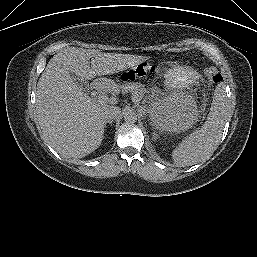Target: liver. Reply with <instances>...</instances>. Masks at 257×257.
<instances>
[{
	"mask_svg": "<svg viewBox=\"0 0 257 257\" xmlns=\"http://www.w3.org/2000/svg\"><path fill=\"white\" fill-rule=\"evenodd\" d=\"M142 60L136 55L75 47L54 55L39 78L36 92V113L47 143L68 159H80L95 151L104 136L106 120L102 111L114 104L116 98L93 101L70 73L90 80L135 67ZM108 82L114 86L112 81Z\"/></svg>",
	"mask_w": 257,
	"mask_h": 257,
	"instance_id": "1",
	"label": "liver"
}]
</instances>
